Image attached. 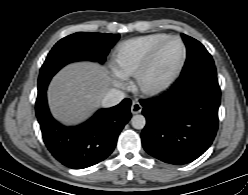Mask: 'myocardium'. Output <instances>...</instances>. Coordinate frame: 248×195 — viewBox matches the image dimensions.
Wrapping results in <instances>:
<instances>
[{
  "instance_id": "myocardium-1",
  "label": "myocardium",
  "mask_w": 248,
  "mask_h": 195,
  "mask_svg": "<svg viewBox=\"0 0 248 195\" xmlns=\"http://www.w3.org/2000/svg\"><path fill=\"white\" fill-rule=\"evenodd\" d=\"M173 40H177L182 45V57L176 69L159 83L149 81L164 47ZM187 59V47L184 41L178 36H168L151 53L144 67L135 75V85L137 89L146 95H156L168 89L180 76Z\"/></svg>"
}]
</instances>
